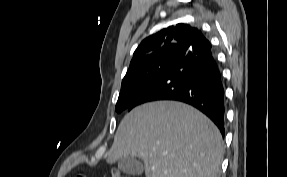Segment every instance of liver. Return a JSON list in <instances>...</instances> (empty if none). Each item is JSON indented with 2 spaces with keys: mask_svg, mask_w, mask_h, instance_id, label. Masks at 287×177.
<instances>
[{
  "mask_svg": "<svg viewBox=\"0 0 287 177\" xmlns=\"http://www.w3.org/2000/svg\"><path fill=\"white\" fill-rule=\"evenodd\" d=\"M223 152L222 136L204 114L180 102L156 101L123 118L107 162L138 156L146 177H218Z\"/></svg>",
  "mask_w": 287,
  "mask_h": 177,
  "instance_id": "1",
  "label": "liver"
}]
</instances>
